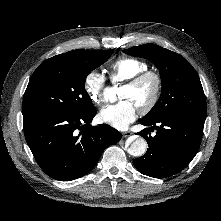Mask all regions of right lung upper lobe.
<instances>
[{
	"label": "right lung upper lobe",
	"instance_id": "cb5924a9",
	"mask_svg": "<svg viewBox=\"0 0 221 221\" xmlns=\"http://www.w3.org/2000/svg\"><path fill=\"white\" fill-rule=\"evenodd\" d=\"M91 50H73L64 54H60L59 56L61 57H77V56H81L86 54L87 52H89Z\"/></svg>",
	"mask_w": 221,
	"mask_h": 221
}]
</instances>
